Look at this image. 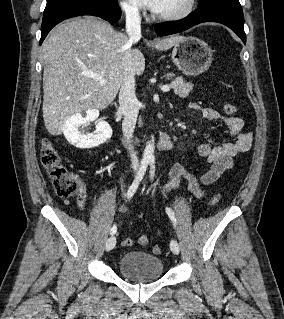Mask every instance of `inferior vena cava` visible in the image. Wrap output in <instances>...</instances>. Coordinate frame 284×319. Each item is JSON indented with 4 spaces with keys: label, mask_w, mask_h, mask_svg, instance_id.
<instances>
[{
    "label": "inferior vena cava",
    "mask_w": 284,
    "mask_h": 319,
    "mask_svg": "<svg viewBox=\"0 0 284 319\" xmlns=\"http://www.w3.org/2000/svg\"><path fill=\"white\" fill-rule=\"evenodd\" d=\"M126 32L129 40L133 43L141 37V18L138 9L130 8L126 10ZM119 113L124 116L122 131L127 139L132 138L134 133L138 113L139 101L135 93V78L133 75L125 77L119 93ZM132 168L139 167V160L136 153L129 148Z\"/></svg>",
    "instance_id": "inferior-vena-cava-1"
}]
</instances>
